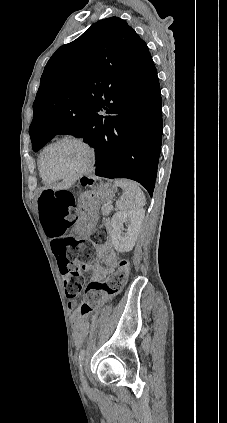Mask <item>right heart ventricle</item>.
<instances>
[{
	"instance_id": "1",
	"label": "right heart ventricle",
	"mask_w": 227,
	"mask_h": 423,
	"mask_svg": "<svg viewBox=\"0 0 227 423\" xmlns=\"http://www.w3.org/2000/svg\"><path fill=\"white\" fill-rule=\"evenodd\" d=\"M40 159H41V153L38 156V160H37V165H38V171H39V175L43 181V183L45 184H51L53 182H55L56 180L48 178L42 171L41 165H40Z\"/></svg>"
}]
</instances>
